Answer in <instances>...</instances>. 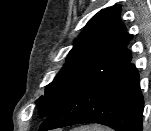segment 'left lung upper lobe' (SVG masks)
I'll return each instance as SVG.
<instances>
[{"mask_svg":"<svg viewBox=\"0 0 151 131\" xmlns=\"http://www.w3.org/2000/svg\"><path fill=\"white\" fill-rule=\"evenodd\" d=\"M121 8L115 5L99 11L86 25L63 69L45 86V94L36 100L38 114L50 115L68 90L91 68H113L131 61L126 45L132 39L120 21Z\"/></svg>","mask_w":151,"mask_h":131,"instance_id":"5c2ea615","label":"left lung upper lobe"}]
</instances>
